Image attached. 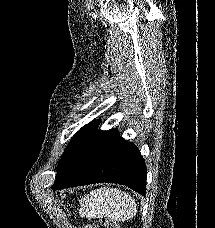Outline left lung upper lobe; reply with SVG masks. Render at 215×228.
<instances>
[{
	"mask_svg": "<svg viewBox=\"0 0 215 228\" xmlns=\"http://www.w3.org/2000/svg\"><path fill=\"white\" fill-rule=\"evenodd\" d=\"M99 121H93L82 127L72 138L71 142L67 146L62 159L57 167V173L72 155V153L78 148V146L93 132L97 129Z\"/></svg>",
	"mask_w": 215,
	"mask_h": 228,
	"instance_id": "left-lung-upper-lobe-1",
	"label": "left lung upper lobe"
}]
</instances>
